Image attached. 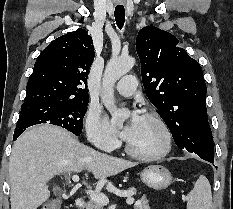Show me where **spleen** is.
Listing matches in <instances>:
<instances>
[{
  "label": "spleen",
  "mask_w": 233,
  "mask_h": 209,
  "mask_svg": "<svg viewBox=\"0 0 233 209\" xmlns=\"http://www.w3.org/2000/svg\"><path fill=\"white\" fill-rule=\"evenodd\" d=\"M187 209H212V193L208 179L201 175L188 195Z\"/></svg>",
  "instance_id": "3e777b00"
}]
</instances>
